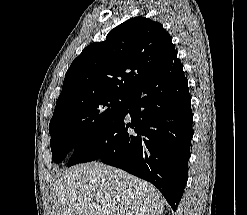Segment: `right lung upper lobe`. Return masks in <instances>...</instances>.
Listing matches in <instances>:
<instances>
[{"mask_svg":"<svg viewBox=\"0 0 247 215\" xmlns=\"http://www.w3.org/2000/svg\"><path fill=\"white\" fill-rule=\"evenodd\" d=\"M173 51L171 37L160 23L131 18L72 62L55 110L93 95H130L160 70Z\"/></svg>","mask_w":247,"mask_h":215,"instance_id":"right-lung-upper-lobe-1","label":"right lung upper lobe"}]
</instances>
